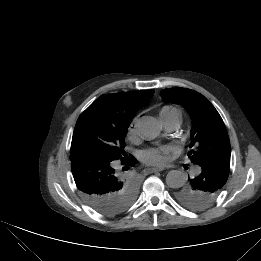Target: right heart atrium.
<instances>
[{"label":"right heart atrium","mask_w":261,"mask_h":261,"mask_svg":"<svg viewBox=\"0 0 261 261\" xmlns=\"http://www.w3.org/2000/svg\"><path fill=\"white\" fill-rule=\"evenodd\" d=\"M137 123H138V118L135 117L130 125H129V128H128V137L131 139V140H135L137 138Z\"/></svg>","instance_id":"right-heart-atrium-1"}]
</instances>
